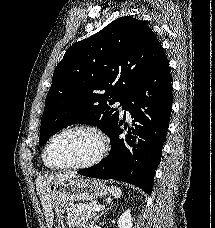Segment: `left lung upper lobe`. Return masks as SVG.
Segmentation results:
<instances>
[{
    "instance_id": "obj_1",
    "label": "left lung upper lobe",
    "mask_w": 215,
    "mask_h": 228,
    "mask_svg": "<svg viewBox=\"0 0 215 228\" xmlns=\"http://www.w3.org/2000/svg\"><path fill=\"white\" fill-rule=\"evenodd\" d=\"M144 21L120 17L73 44L58 63L41 118L40 146L75 123L97 126L111 136L123 106L162 50Z\"/></svg>"
}]
</instances>
